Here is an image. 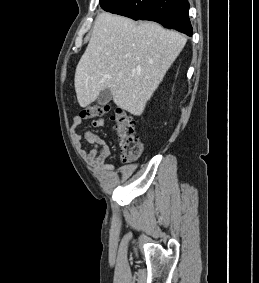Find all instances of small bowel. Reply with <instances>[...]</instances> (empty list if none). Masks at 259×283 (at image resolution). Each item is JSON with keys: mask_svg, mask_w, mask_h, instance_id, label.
I'll return each mask as SVG.
<instances>
[{"mask_svg": "<svg viewBox=\"0 0 259 283\" xmlns=\"http://www.w3.org/2000/svg\"><path fill=\"white\" fill-rule=\"evenodd\" d=\"M81 124L82 118L80 116H75L72 120L73 128L77 129L81 126ZM103 124V119L93 121L94 126H102ZM83 137L85 141L92 146V148L86 153L87 162L105 173H111L113 171V166L106 161L110 155V147L106 141L91 131H86ZM75 138L80 139V136L75 134ZM123 174V170L119 172V175Z\"/></svg>", "mask_w": 259, "mask_h": 283, "instance_id": "small-bowel-1", "label": "small bowel"}]
</instances>
